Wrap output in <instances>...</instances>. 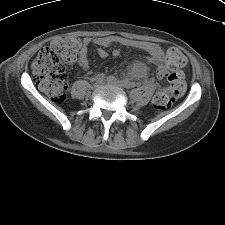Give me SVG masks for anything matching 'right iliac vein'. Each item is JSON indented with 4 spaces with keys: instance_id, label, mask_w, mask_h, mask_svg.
I'll list each match as a JSON object with an SVG mask.
<instances>
[{
    "instance_id": "obj_1",
    "label": "right iliac vein",
    "mask_w": 225,
    "mask_h": 225,
    "mask_svg": "<svg viewBox=\"0 0 225 225\" xmlns=\"http://www.w3.org/2000/svg\"><path fill=\"white\" fill-rule=\"evenodd\" d=\"M102 84H103L102 81H96V82L94 83V87H95V88H99Z\"/></svg>"
}]
</instances>
